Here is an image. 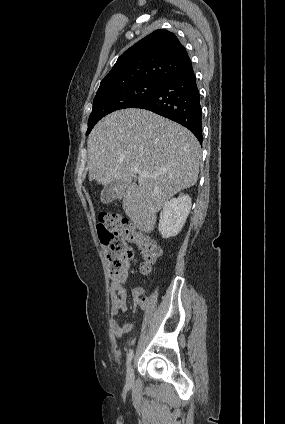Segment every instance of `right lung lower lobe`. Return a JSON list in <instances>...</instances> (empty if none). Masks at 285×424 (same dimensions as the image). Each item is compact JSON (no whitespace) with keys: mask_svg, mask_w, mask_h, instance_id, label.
Listing matches in <instances>:
<instances>
[{"mask_svg":"<svg viewBox=\"0 0 285 424\" xmlns=\"http://www.w3.org/2000/svg\"><path fill=\"white\" fill-rule=\"evenodd\" d=\"M130 108L150 110L171 119L189 129L202 143V109L192 65Z\"/></svg>","mask_w":285,"mask_h":424,"instance_id":"right-lung-lower-lobe-1","label":"right lung lower lobe"}]
</instances>
